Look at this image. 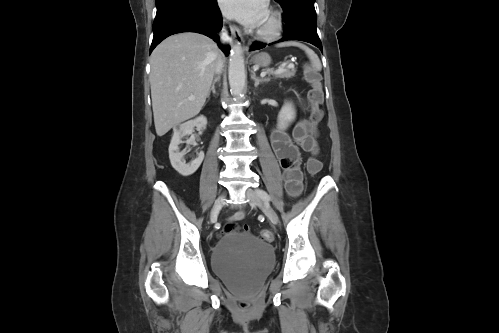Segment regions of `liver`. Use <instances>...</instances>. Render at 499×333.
Wrapping results in <instances>:
<instances>
[{
  "label": "liver",
  "instance_id": "liver-1",
  "mask_svg": "<svg viewBox=\"0 0 499 333\" xmlns=\"http://www.w3.org/2000/svg\"><path fill=\"white\" fill-rule=\"evenodd\" d=\"M219 58L213 40L192 32L172 35L155 48L150 58V85L158 136L201 111ZM190 96L195 99L189 100Z\"/></svg>",
  "mask_w": 499,
  "mask_h": 333
}]
</instances>
